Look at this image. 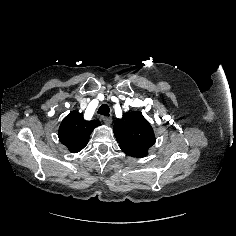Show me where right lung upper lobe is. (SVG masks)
<instances>
[{
    "instance_id": "1",
    "label": "right lung upper lobe",
    "mask_w": 236,
    "mask_h": 236,
    "mask_svg": "<svg viewBox=\"0 0 236 236\" xmlns=\"http://www.w3.org/2000/svg\"><path fill=\"white\" fill-rule=\"evenodd\" d=\"M99 125V121H86L83 114L71 111L60 124L59 140L70 152L77 153L87 145L90 134Z\"/></svg>"
}]
</instances>
